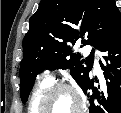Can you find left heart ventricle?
Returning <instances> with one entry per match:
<instances>
[{"mask_svg":"<svg viewBox=\"0 0 121 113\" xmlns=\"http://www.w3.org/2000/svg\"><path fill=\"white\" fill-rule=\"evenodd\" d=\"M76 106L75 97L68 91H60L57 93L52 101L51 108L55 112H69Z\"/></svg>","mask_w":121,"mask_h":113,"instance_id":"obj_1","label":"left heart ventricle"}]
</instances>
